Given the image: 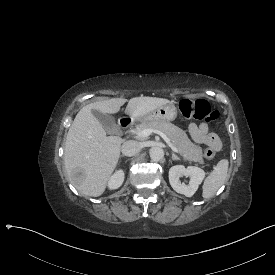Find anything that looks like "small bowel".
I'll use <instances>...</instances> for the list:
<instances>
[{"label": "small bowel", "mask_w": 275, "mask_h": 275, "mask_svg": "<svg viewBox=\"0 0 275 275\" xmlns=\"http://www.w3.org/2000/svg\"><path fill=\"white\" fill-rule=\"evenodd\" d=\"M189 131L195 142L213 147L216 150L221 148L220 139L216 134L209 132L207 124H190Z\"/></svg>", "instance_id": "obj_1"}]
</instances>
